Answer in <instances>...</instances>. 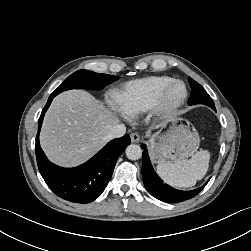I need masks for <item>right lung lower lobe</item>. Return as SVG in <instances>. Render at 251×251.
Wrapping results in <instances>:
<instances>
[{
  "instance_id": "98d812e1",
  "label": "right lung lower lobe",
  "mask_w": 251,
  "mask_h": 251,
  "mask_svg": "<svg viewBox=\"0 0 251 251\" xmlns=\"http://www.w3.org/2000/svg\"><path fill=\"white\" fill-rule=\"evenodd\" d=\"M56 93H52L38 120L36 137L37 164L46 184L59 197L75 202L89 203L98 198L106 188L118 157L131 143L129 135L109 142L102 150L84 164L75 168H62L51 163L39 143V132L44 114Z\"/></svg>"
}]
</instances>
